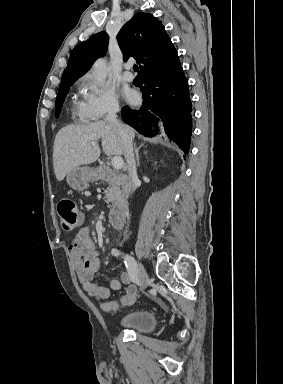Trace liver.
<instances>
[{
  "instance_id": "liver-1",
  "label": "liver",
  "mask_w": 283,
  "mask_h": 384,
  "mask_svg": "<svg viewBox=\"0 0 283 384\" xmlns=\"http://www.w3.org/2000/svg\"><path fill=\"white\" fill-rule=\"evenodd\" d=\"M129 138H135V130L121 124ZM102 140L103 152L106 156H122L123 142L119 130L111 122H93L83 126H65L59 130L53 148V166L58 182H62L68 172L77 166L93 164L101 152L97 146ZM96 144V146H91Z\"/></svg>"
}]
</instances>
